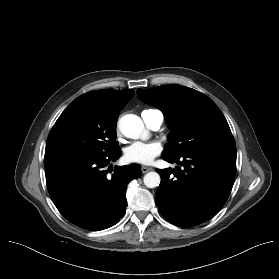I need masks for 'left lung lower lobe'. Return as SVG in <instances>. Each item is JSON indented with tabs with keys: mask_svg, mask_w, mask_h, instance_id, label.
I'll return each instance as SVG.
<instances>
[{
	"mask_svg": "<svg viewBox=\"0 0 279 279\" xmlns=\"http://www.w3.org/2000/svg\"><path fill=\"white\" fill-rule=\"evenodd\" d=\"M162 157L182 168L157 170L161 176L156 196L159 212L182 227L199 225L216 215L234 184L236 148L213 147Z\"/></svg>",
	"mask_w": 279,
	"mask_h": 279,
	"instance_id": "obj_1",
	"label": "left lung lower lobe"
}]
</instances>
